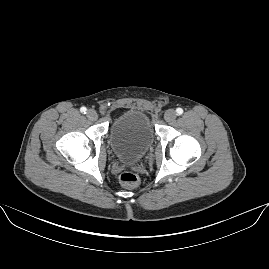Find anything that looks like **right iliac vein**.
<instances>
[{
    "label": "right iliac vein",
    "mask_w": 269,
    "mask_h": 269,
    "mask_svg": "<svg viewBox=\"0 0 269 269\" xmlns=\"http://www.w3.org/2000/svg\"><path fill=\"white\" fill-rule=\"evenodd\" d=\"M87 118L92 121L96 120L98 118L97 112L93 109H89L87 111Z\"/></svg>",
    "instance_id": "1"
}]
</instances>
